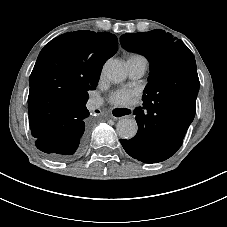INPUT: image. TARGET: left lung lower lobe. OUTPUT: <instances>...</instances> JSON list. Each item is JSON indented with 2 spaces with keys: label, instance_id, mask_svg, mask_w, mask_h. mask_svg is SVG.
<instances>
[{
  "label": "left lung lower lobe",
  "instance_id": "left-lung-lower-lobe-1",
  "mask_svg": "<svg viewBox=\"0 0 227 227\" xmlns=\"http://www.w3.org/2000/svg\"><path fill=\"white\" fill-rule=\"evenodd\" d=\"M198 91L199 82H191L169 97L143 99V106L134 111L137 134L130 140L120 139L125 151L144 163L171 157L194 119Z\"/></svg>",
  "mask_w": 227,
  "mask_h": 227
}]
</instances>
